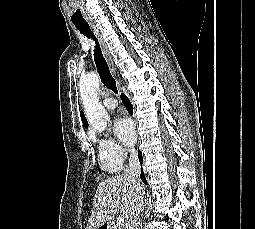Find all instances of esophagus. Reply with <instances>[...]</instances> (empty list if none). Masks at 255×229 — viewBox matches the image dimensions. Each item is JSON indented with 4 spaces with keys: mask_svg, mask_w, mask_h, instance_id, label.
Returning <instances> with one entry per match:
<instances>
[{
    "mask_svg": "<svg viewBox=\"0 0 255 229\" xmlns=\"http://www.w3.org/2000/svg\"><path fill=\"white\" fill-rule=\"evenodd\" d=\"M90 26L92 27L94 33L96 34V36H97V38L99 40V43L101 45L103 54L105 56V59L107 61L108 66H109L110 72L116 78V76H115L116 68L114 66V62H113L112 56L110 55V53H109V51H108V49H107V47H106V45H105V43H104V41L102 39L101 34H100V32L98 31V29L96 28V26L94 24L90 23ZM116 82H117V86H118L119 91H121V86H120V83H119V81L117 79H116Z\"/></svg>",
    "mask_w": 255,
    "mask_h": 229,
    "instance_id": "obj_1",
    "label": "esophagus"
}]
</instances>
